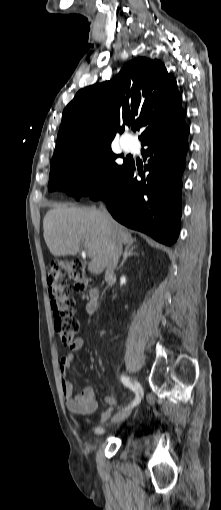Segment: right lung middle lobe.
I'll return each instance as SVG.
<instances>
[{
    "label": "right lung middle lobe",
    "mask_w": 221,
    "mask_h": 510,
    "mask_svg": "<svg viewBox=\"0 0 221 510\" xmlns=\"http://www.w3.org/2000/svg\"><path fill=\"white\" fill-rule=\"evenodd\" d=\"M117 157L111 145L72 150L51 163L48 189L66 191L77 200L82 195L93 197L113 183L128 166L126 160L117 164Z\"/></svg>",
    "instance_id": "right-lung-middle-lobe-1"
}]
</instances>
